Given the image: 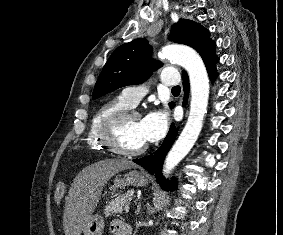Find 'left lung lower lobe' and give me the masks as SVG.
Segmentation results:
<instances>
[{
  "instance_id": "1",
  "label": "left lung lower lobe",
  "mask_w": 283,
  "mask_h": 235,
  "mask_svg": "<svg viewBox=\"0 0 283 235\" xmlns=\"http://www.w3.org/2000/svg\"><path fill=\"white\" fill-rule=\"evenodd\" d=\"M215 64L207 68V71H208V74L211 80H214L217 76ZM183 84H184V91H185V97H184L185 101L183 104L185 105L187 101V93L189 89V80H188L187 75L184 76ZM176 135H177V129L174 126V124H172L164 142L162 143V145L159 147V149L156 152L150 154L149 156L133 160V162L141 165L144 169H146L151 174H155L157 183H159L162 189L164 190H166V188H169L170 190H175L176 188V180H172V183L168 184V182H164V178L161 177L162 176L161 169H162L163 160L167 152L171 148L176 138Z\"/></svg>"
}]
</instances>
